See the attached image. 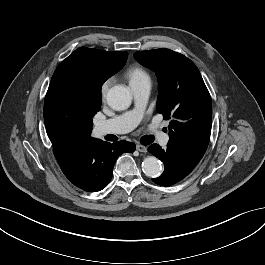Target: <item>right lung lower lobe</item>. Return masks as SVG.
I'll list each match as a JSON object with an SVG mask.
<instances>
[{"mask_svg": "<svg viewBox=\"0 0 265 265\" xmlns=\"http://www.w3.org/2000/svg\"><path fill=\"white\" fill-rule=\"evenodd\" d=\"M135 144L125 140L113 144L92 139L60 167L69 181L87 192L107 186L117 158L124 152L135 151Z\"/></svg>", "mask_w": 265, "mask_h": 265, "instance_id": "right-lung-lower-lobe-1", "label": "right lung lower lobe"}]
</instances>
